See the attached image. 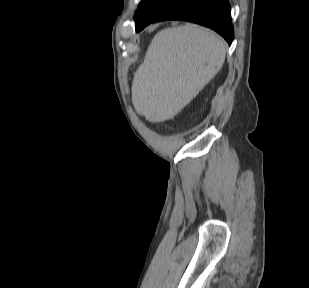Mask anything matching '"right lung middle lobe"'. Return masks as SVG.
I'll use <instances>...</instances> for the list:
<instances>
[{
	"label": "right lung middle lobe",
	"instance_id": "1",
	"mask_svg": "<svg viewBox=\"0 0 309 288\" xmlns=\"http://www.w3.org/2000/svg\"><path fill=\"white\" fill-rule=\"evenodd\" d=\"M179 0H142L135 15L136 32L147 26L160 12Z\"/></svg>",
	"mask_w": 309,
	"mask_h": 288
}]
</instances>
